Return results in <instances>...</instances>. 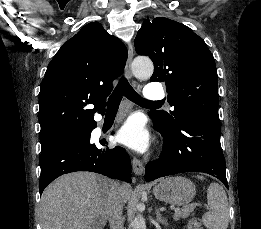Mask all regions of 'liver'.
<instances>
[{
	"label": "liver",
	"instance_id": "liver-1",
	"mask_svg": "<svg viewBox=\"0 0 261 229\" xmlns=\"http://www.w3.org/2000/svg\"><path fill=\"white\" fill-rule=\"evenodd\" d=\"M114 181L97 173H69L51 183L42 193L39 219L41 229H104L108 193ZM123 203L129 187L123 185Z\"/></svg>",
	"mask_w": 261,
	"mask_h": 229
}]
</instances>
